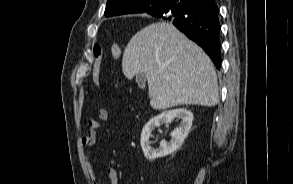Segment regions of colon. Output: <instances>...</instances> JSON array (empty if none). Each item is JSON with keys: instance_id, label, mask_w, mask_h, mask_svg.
Masks as SVG:
<instances>
[{"instance_id": "1", "label": "colon", "mask_w": 293, "mask_h": 184, "mask_svg": "<svg viewBox=\"0 0 293 184\" xmlns=\"http://www.w3.org/2000/svg\"><path fill=\"white\" fill-rule=\"evenodd\" d=\"M110 52L112 56L115 59H119L122 55V50L120 46L117 44H112L110 46ZM102 55H103V49L100 44H94L93 46V70H92V83L95 87L99 86L100 82V73H101V67H102Z\"/></svg>"}]
</instances>
